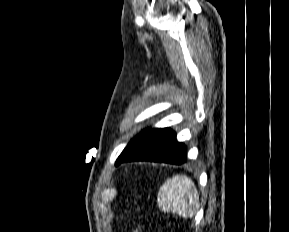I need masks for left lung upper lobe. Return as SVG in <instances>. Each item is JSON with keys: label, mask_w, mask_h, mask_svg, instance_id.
Here are the masks:
<instances>
[{"label": "left lung upper lobe", "mask_w": 289, "mask_h": 232, "mask_svg": "<svg viewBox=\"0 0 289 232\" xmlns=\"http://www.w3.org/2000/svg\"><path fill=\"white\" fill-rule=\"evenodd\" d=\"M160 129H145L142 133L136 136L123 150L121 155L118 157L116 164L119 165L126 158L132 155L135 151H137L147 140H149L154 134H156Z\"/></svg>", "instance_id": "5c2ea615"}]
</instances>
